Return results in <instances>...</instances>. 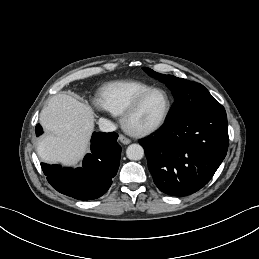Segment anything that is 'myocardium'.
Wrapping results in <instances>:
<instances>
[{"instance_id":"obj_1","label":"myocardium","mask_w":259,"mask_h":259,"mask_svg":"<svg viewBox=\"0 0 259 259\" xmlns=\"http://www.w3.org/2000/svg\"><path fill=\"white\" fill-rule=\"evenodd\" d=\"M160 92L163 93L167 99V106L166 110L162 116V118L154 125L146 127V128H134L130 124L131 117L137 112L141 104L153 93ZM172 108V100L169 95V93L162 89V88H151L150 90L144 92L140 96H138L123 112L121 116V124L123 128L131 135L136 137H144L148 136L156 131H158L160 128L164 126L166 121L168 120V117L170 115Z\"/></svg>"}]
</instances>
